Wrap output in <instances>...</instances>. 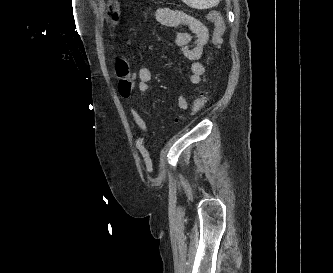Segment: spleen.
Masks as SVG:
<instances>
[{
    "label": "spleen",
    "instance_id": "obj_1",
    "mask_svg": "<svg viewBox=\"0 0 333 273\" xmlns=\"http://www.w3.org/2000/svg\"><path fill=\"white\" fill-rule=\"evenodd\" d=\"M184 3L196 9H209L218 5L220 0H182Z\"/></svg>",
    "mask_w": 333,
    "mask_h": 273
}]
</instances>
